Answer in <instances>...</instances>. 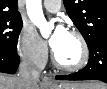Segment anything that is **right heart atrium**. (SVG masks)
<instances>
[{"mask_svg": "<svg viewBox=\"0 0 107 89\" xmlns=\"http://www.w3.org/2000/svg\"><path fill=\"white\" fill-rule=\"evenodd\" d=\"M19 56L35 67L45 65L48 58V49L45 42L31 26H24L17 39Z\"/></svg>", "mask_w": 107, "mask_h": 89, "instance_id": "obj_1", "label": "right heart atrium"}]
</instances>
